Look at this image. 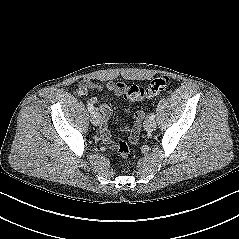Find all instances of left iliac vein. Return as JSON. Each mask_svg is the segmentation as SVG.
Returning <instances> with one entry per match:
<instances>
[{
    "label": "left iliac vein",
    "instance_id": "obj_1",
    "mask_svg": "<svg viewBox=\"0 0 239 239\" xmlns=\"http://www.w3.org/2000/svg\"><path fill=\"white\" fill-rule=\"evenodd\" d=\"M144 128L148 132L153 131L156 128V123H155L154 119H150V118L146 119L144 121Z\"/></svg>",
    "mask_w": 239,
    "mask_h": 239
}]
</instances>
